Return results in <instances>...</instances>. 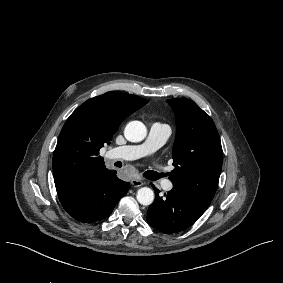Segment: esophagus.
Returning <instances> with one entry per match:
<instances>
[{
  "mask_svg": "<svg viewBox=\"0 0 283 283\" xmlns=\"http://www.w3.org/2000/svg\"><path fill=\"white\" fill-rule=\"evenodd\" d=\"M131 184L134 186V187H140L144 184L143 181L141 180H138V179H132L131 180Z\"/></svg>",
  "mask_w": 283,
  "mask_h": 283,
  "instance_id": "esophagus-1",
  "label": "esophagus"
}]
</instances>
